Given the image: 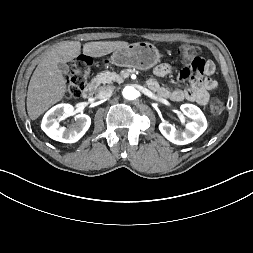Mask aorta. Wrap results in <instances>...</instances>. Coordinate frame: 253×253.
<instances>
[{"mask_svg":"<svg viewBox=\"0 0 253 253\" xmlns=\"http://www.w3.org/2000/svg\"><path fill=\"white\" fill-rule=\"evenodd\" d=\"M122 94L123 97L128 100H134L135 98H137V90L132 86H126L123 89Z\"/></svg>","mask_w":253,"mask_h":253,"instance_id":"obj_1","label":"aorta"}]
</instances>
